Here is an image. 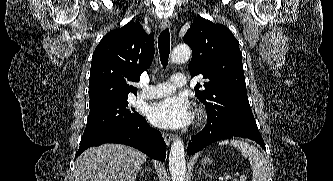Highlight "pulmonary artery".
<instances>
[{"mask_svg":"<svg viewBox=\"0 0 333 181\" xmlns=\"http://www.w3.org/2000/svg\"><path fill=\"white\" fill-rule=\"evenodd\" d=\"M186 76L183 73L173 74L170 82L149 86L140 96L142 99H158L172 94L176 87L185 86Z\"/></svg>","mask_w":333,"mask_h":181,"instance_id":"1","label":"pulmonary artery"}]
</instances>
